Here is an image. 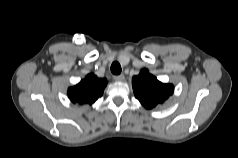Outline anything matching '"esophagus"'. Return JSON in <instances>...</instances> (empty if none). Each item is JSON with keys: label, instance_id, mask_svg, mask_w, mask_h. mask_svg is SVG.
I'll return each mask as SVG.
<instances>
[{"label": "esophagus", "instance_id": "obj_1", "mask_svg": "<svg viewBox=\"0 0 238 158\" xmlns=\"http://www.w3.org/2000/svg\"><path fill=\"white\" fill-rule=\"evenodd\" d=\"M125 76L123 74L114 76L115 81H124Z\"/></svg>", "mask_w": 238, "mask_h": 158}]
</instances>
